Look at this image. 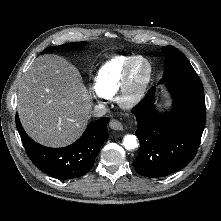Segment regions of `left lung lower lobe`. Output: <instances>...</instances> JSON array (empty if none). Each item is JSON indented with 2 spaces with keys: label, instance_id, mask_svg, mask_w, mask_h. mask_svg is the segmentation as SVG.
Wrapping results in <instances>:
<instances>
[{
  "label": "left lung lower lobe",
  "instance_id": "0a47b994",
  "mask_svg": "<svg viewBox=\"0 0 221 221\" xmlns=\"http://www.w3.org/2000/svg\"><path fill=\"white\" fill-rule=\"evenodd\" d=\"M166 86L173 98L171 114L156 111L155 87L132 109L140 141L133 166L151 178L168 176L194 158L206 120L203 86L196 73L175 77Z\"/></svg>",
  "mask_w": 221,
  "mask_h": 221
}]
</instances>
